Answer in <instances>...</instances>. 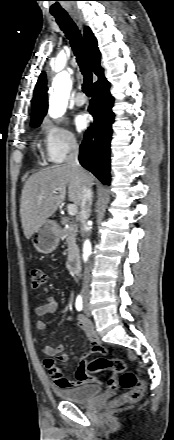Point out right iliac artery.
I'll return each mask as SVG.
<instances>
[{
	"label": "right iliac artery",
	"mask_w": 174,
	"mask_h": 440,
	"mask_svg": "<svg viewBox=\"0 0 174 440\" xmlns=\"http://www.w3.org/2000/svg\"><path fill=\"white\" fill-rule=\"evenodd\" d=\"M75 306H76V309H77L78 311H81V310H82V307H83V301H82V297H81L80 295L77 296Z\"/></svg>",
	"instance_id": "82829eb1"
}]
</instances>
